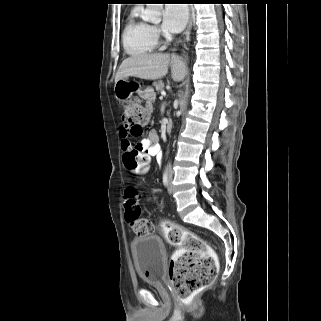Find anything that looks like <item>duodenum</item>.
Segmentation results:
<instances>
[{"label":"duodenum","mask_w":321,"mask_h":321,"mask_svg":"<svg viewBox=\"0 0 321 321\" xmlns=\"http://www.w3.org/2000/svg\"><path fill=\"white\" fill-rule=\"evenodd\" d=\"M165 129L167 133H171L173 130V122L171 120H167L165 123Z\"/></svg>","instance_id":"1"}]
</instances>
